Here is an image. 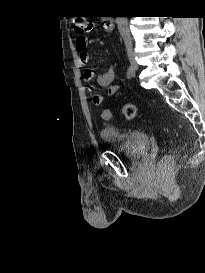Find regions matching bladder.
I'll use <instances>...</instances> for the list:
<instances>
[{
  "label": "bladder",
  "instance_id": "1",
  "mask_svg": "<svg viewBox=\"0 0 205 273\" xmlns=\"http://www.w3.org/2000/svg\"><path fill=\"white\" fill-rule=\"evenodd\" d=\"M100 135L113 152L126 158H138L150 149L149 135L141 130H122L114 125H104Z\"/></svg>",
  "mask_w": 205,
  "mask_h": 273
}]
</instances>
